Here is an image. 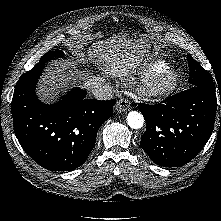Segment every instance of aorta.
<instances>
[{"mask_svg":"<svg viewBox=\"0 0 221 221\" xmlns=\"http://www.w3.org/2000/svg\"><path fill=\"white\" fill-rule=\"evenodd\" d=\"M127 124L132 129H139L144 125V117L138 111H131L127 115Z\"/></svg>","mask_w":221,"mask_h":221,"instance_id":"aorta-1","label":"aorta"}]
</instances>
